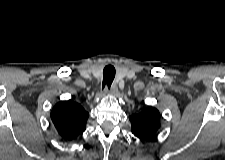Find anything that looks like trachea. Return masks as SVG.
Wrapping results in <instances>:
<instances>
[{"mask_svg":"<svg viewBox=\"0 0 225 160\" xmlns=\"http://www.w3.org/2000/svg\"><path fill=\"white\" fill-rule=\"evenodd\" d=\"M116 70L113 65H107L105 66L103 70V84H102V89L105 87H108L110 89L111 84L114 80Z\"/></svg>","mask_w":225,"mask_h":160,"instance_id":"1","label":"trachea"}]
</instances>
